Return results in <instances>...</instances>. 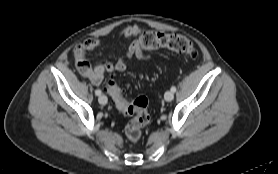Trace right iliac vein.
<instances>
[{
  "mask_svg": "<svg viewBox=\"0 0 278 174\" xmlns=\"http://www.w3.org/2000/svg\"><path fill=\"white\" fill-rule=\"evenodd\" d=\"M98 101L100 104L105 105V104H107L108 99L105 95H101V96H99Z\"/></svg>",
  "mask_w": 278,
  "mask_h": 174,
  "instance_id": "1",
  "label": "right iliac vein"
}]
</instances>
